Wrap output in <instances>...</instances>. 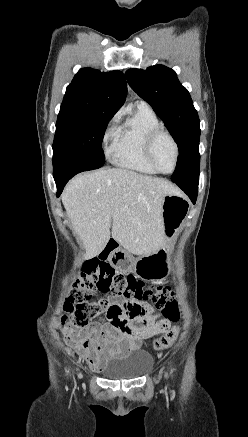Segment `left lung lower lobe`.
<instances>
[{"label": "left lung lower lobe", "instance_id": "obj_1", "mask_svg": "<svg viewBox=\"0 0 248 437\" xmlns=\"http://www.w3.org/2000/svg\"><path fill=\"white\" fill-rule=\"evenodd\" d=\"M198 182L199 180L188 183H176L189 196L193 204H195L197 198Z\"/></svg>", "mask_w": 248, "mask_h": 437}]
</instances>
